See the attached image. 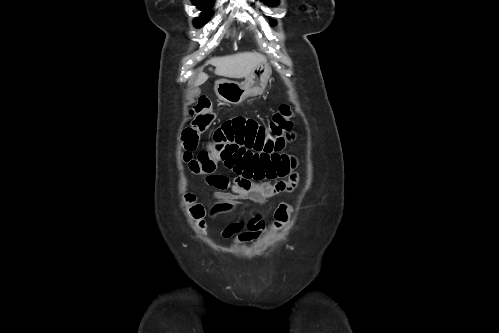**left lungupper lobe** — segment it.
<instances>
[{
  "mask_svg": "<svg viewBox=\"0 0 499 333\" xmlns=\"http://www.w3.org/2000/svg\"><path fill=\"white\" fill-rule=\"evenodd\" d=\"M266 5L275 6L278 3V0H264Z\"/></svg>",
  "mask_w": 499,
  "mask_h": 333,
  "instance_id": "5c2ea615",
  "label": "left lung upper lobe"
}]
</instances>
